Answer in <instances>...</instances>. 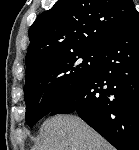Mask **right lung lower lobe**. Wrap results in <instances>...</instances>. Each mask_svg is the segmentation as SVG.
<instances>
[{
    "label": "right lung lower lobe",
    "instance_id": "1",
    "mask_svg": "<svg viewBox=\"0 0 139 150\" xmlns=\"http://www.w3.org/2000/svg\"><path fill=\"white\" fill-rule=\"evenodd\" d=\"M76 113L117 150H139V15L104 44L92 74L50 115Z\"/></svg>",
    "mask_w": 139,
    "mask_h": 150
}]
</instances>
